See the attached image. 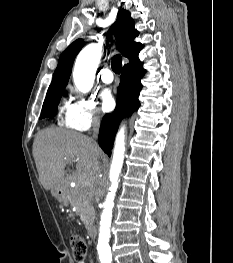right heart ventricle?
<instances>
[{"mask_svg":"<svg viewBox=\"0 0 233 263\" xmlns=\"http://www.w3.org/2000/svg\"><path fill=\"white\" fill-rule=\"evenodd\" d=\"M69 109H70V105L67 104V103H65V104L63 105V107H62V111H63V113H64V115H65V118H66V116H67V114H68V112H69Z\"/></svg>","mask_w":233,"mask_h":263,"instance_id":"obj_1","label":"right heart ventricle"}]
</instances>
